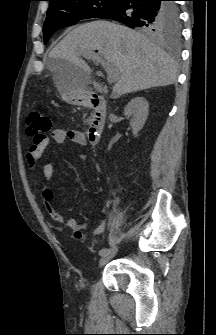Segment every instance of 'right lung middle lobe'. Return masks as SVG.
Returning <instances> with one entry per match:
<instances>
[{
  "label": "right lung middle lobe",
  "instance_id": "obj_1",
  "mask_svg": "<svg viewBox=\"0 0 216 335\" xmlns=\"http://www.w3.org/2000/svg\"><path fill=\"white\" fill-rule=\"evenodd\" d=\"M118 1L119 0H54L50 2L43 28L44 43L46 44L51 35L58 29L71 26L81 19L101 18L111 11ZM144 31L151 35L178 37L180 34V21L172 22L169 28L158 33H154L151 30Z\"/></svg>",
  "mask_w": 216,
  "mask_h": 335
}]
</instances>
